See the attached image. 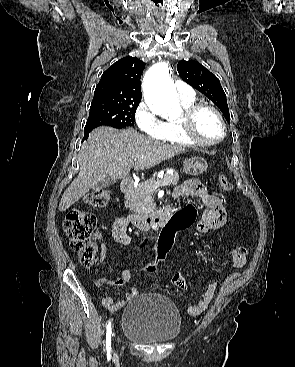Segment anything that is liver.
I'll return each instance as SVG.
<instances>
[{"instance_id": "6515ba94", "label": "liver", "mask_w": 295, "mask_h": 367, "mask_svg": "<svg viewBox=\"0 0 295 367\" xmlns=\"http://www.w3.org/2000/svg\"><path fill=\"white\" fill-rule=\"evenodd\" d=\"M185 149L153 140L134 129L119 131L102 126L94 129L78 154L80 171L65 190L59 210L65 211L99 181L124 179L130 170H144L173 158Z\"/></svg>"}]
</instances>
